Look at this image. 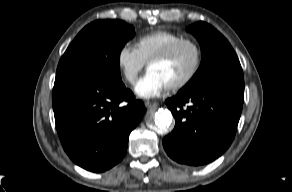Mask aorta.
Wrapping results in <instances>:
<instances>
[{
  "mask_svg": "<svg viewBox=\"0 0 292 192\" xmlns=\"http://www.w3.org/2000/svg\"><path fill=\"white\" fill-rule=\"evenodd\" d=\"M172 114L167 109H159L155 113L154 123L160 132L166 131L172 123Z\"/></svg>",
  "mask_w": 292,
  "mask_h": 192,
  "instance_id": "obj_1",
  "label": "aorta"
}]
</instances>
